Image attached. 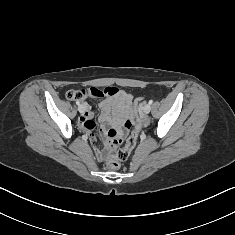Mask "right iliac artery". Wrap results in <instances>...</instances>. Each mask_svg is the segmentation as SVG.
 I'll list each match as a JSON object with an SVG mask.
<instances>
[{
	"label": "right iliac artery",
	"instance_id": "1",
	"mask_svg": "<svg viewBox=\"0 0 235 235\" xmlns=\"http://www.w3.org/2000/svg\"><path fill=\"white\" fill-rule=\"evenodd\" d=\"M76 104H77V105H80V102H79V101H77V102H76Z\"/></svg>",
	"mask_w": 235,
	"mask_h": 235
}]
</instances>
